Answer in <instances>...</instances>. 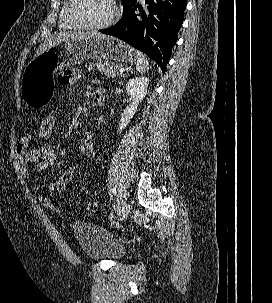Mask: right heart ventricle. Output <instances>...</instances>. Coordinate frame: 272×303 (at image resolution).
Segmentation results:
<instances>
[{
    "mask_svg": "<svg viewBox=\"0 0 272 303\" xmlns=\"http://www.w3.org/2000/svg\"><path fill=\"white\" fill-rule=\"evenodd\" d=\"M66 5H67V0H65L63 6H62V9H61V14H60V26L61 28L63 29H72L74 28L73 25H71L66 17H65V9H66Z\"/></svg>",
    "mask_w": 272,
    "mask_h": 303,
    "instance_id": "e07e8e85",
    "label": "right heart ventricle"
}]
</instances>
